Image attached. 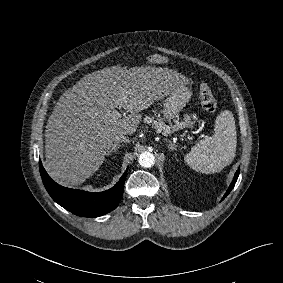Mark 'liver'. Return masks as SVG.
I'll list each match as a JSON object with an SVG mask.
<instances>
[{
	"label": "liver",
	"instance_id": "1",
	"mask_svg": "<svg viewBox=\"0 0 283 283\" xmlns=\"http://www.w3.org/2000/svg\"><path fill=\"white\" fill-rule=\"evenodd\" d=\"M185 78L168 68L118 66L85 75L56 103L45 130V169L58 182L80 185L109 154L114 137L132 135L139 112L163 99ZM122 107L124 118L110 114Z\"/></svg>",
	"mask_w": 283,
	"mask_h": 283
}]
</instances>
